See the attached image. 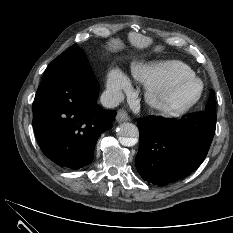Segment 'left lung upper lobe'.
Here are the masks:
<instances>
[{
	"label": "left lung upper lobe",
	"mask_w": 233,
	"mask_h": 233,
	"mask_svg": "<svg viewBox=\"0 0 233 233\" xmlns=\"http://www.w3.org/2000/svg\"><path fill=\"white\" fill-rule=\"evenodd\" d=\"M216 105H215V97L214 91H211L209 101L206 105V110L204 111L207 114L215 115Z\"/></svg>",
	"instance_id": "1"
}]
</instances>
